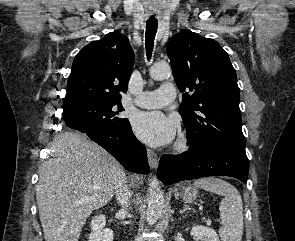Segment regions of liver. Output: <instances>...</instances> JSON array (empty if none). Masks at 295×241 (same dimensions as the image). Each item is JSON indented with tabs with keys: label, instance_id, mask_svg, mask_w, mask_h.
Wrapping results in <instances>:
<instances>
[{
	"label": "liver",
	"instance_id": "obj_1",
	"mask_svg": "<svg viewBox=\"0 0 295 241\" xmlns=\"http://www.w3.org/2000/svg\"><path fill=\"white\" fill-rule=\"evenodd\" d=\"M51 150L36 187L44 238L78 241L92 211L113 197L114 175L122 168L103 148L76 132L56 136Z\"/></svg>",
	"mask_w": 295,
	"mask_h": 241
}]
</instances>
